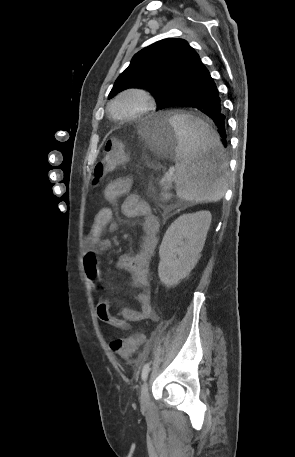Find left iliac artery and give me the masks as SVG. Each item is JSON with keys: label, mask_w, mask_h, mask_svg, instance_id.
<instances>
[{"label": "left iliac artery", "mask_w": 295, "mask_h": 457, "mask_svg": "<svg viewBox=\"0 0 295 457\" xmlns=\"http://www.w3.org/2000/svg\"><path fill=\"white\" fill-rule=\"evenodd\" d=\"M150 371V363H146L142 369L141 377L145 381L147 379L148 373Z\"/></svg>", "instance_id": "44dca946"}]
</instances>
